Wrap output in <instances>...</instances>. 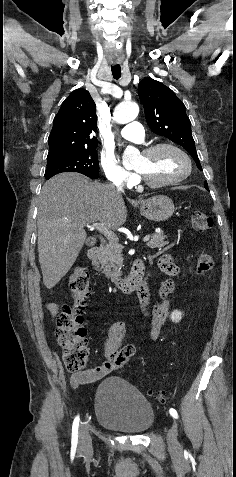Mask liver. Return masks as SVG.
<instances>
[{
  "label": "liver",
  "mask_w": 236,
  "mask_h": 477,
  "mask_svg": "<svg viewBox=\"0 0 236 477\" xmlns=\"http://www.w3.org/2000/svg\"><path fill=\"white\" fill-rule=\"evenodd\" d=\"M127 210L114 186L91 182L78 173H61L42 187L38 204V253L47 289L53 288L77 259L87 234L84 226L100 222L122 226Z\"/></svg>",
  "instance_id": "obj_1"
}]
</instances>
